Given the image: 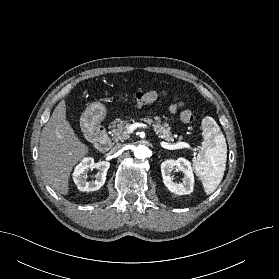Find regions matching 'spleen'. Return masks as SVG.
<instances>
[{"instance_id": "1", "label": "spleen", "mask_w": 279, "mask_h": 279, "mask_svg": "<svg viewBox=\"0 0 279 279\" xmlns=\"http://www.w3.org/2000/svg\"><path fill=\"white\" fill-rule=\"evenodd\" d=\"M202 150L193 160L196 175L201 179L205 193L212 194L221 183L226 167L227 145L225 137L209 116L202 120Z\"/></svg>"}]
</instances>
